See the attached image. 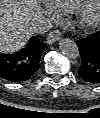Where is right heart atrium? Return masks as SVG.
<instances>
[{"instance_id":"obj_1","label":"right heart atrium","mask_w":100,"mask_h":118,"mask_svg":"<svg viewBox=\"0 0 100 118\" xmlns=\"http://www.w3.org/2000/svg\"><path fill=\"white\" fill-rule=\"evenodd\" d=\"M46 8H47V11L50 15H52V16L57 15V10L52 6L51 3L46 2Z\"/></svg>"}]
</instances>
